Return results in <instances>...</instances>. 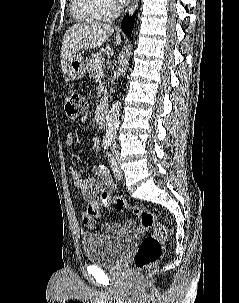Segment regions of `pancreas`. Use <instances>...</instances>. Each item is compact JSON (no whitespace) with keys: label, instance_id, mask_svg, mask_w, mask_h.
I'll use <instances>...</instances> for the list:
<instances>
[{"label":"pancreas","instance_id":"1","mask_svg":"<svg viewBox=\"0 0 239 303\" xmlns=\"http://www.w3.org/2000/svg\"><path fill=\"white\" fill-rule=\"evenodd\" d=\"M87 64H86V68H87V72L89 74L90 77H92L93 79H97V71L100 67H102V63H103V58L101 56V53H94L92 54L88 59H87ZM104 97H106V93L104 95Z\"/></svg>","mask_w":239,"mask_h":303}]
</instances>
